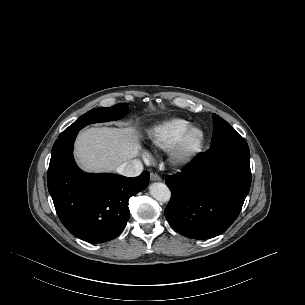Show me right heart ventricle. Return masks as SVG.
Here are the masks:
<instances>
[{"label":"right heart ventricle","mask_w":305,"mask_h":305,"mask_svg":"<svg viewBox=\"0 0 305 305\" xmlns=\"http://www.w3.org/2000/svg\"><path fill=\"white\" fill-rule=\"evenodd\" d=\"M190 125L188 120L182 118L166 120L149 131L150 143L159 149H170L176 145Z\"/></svg>","instance_id":"1"}]
</instances>
